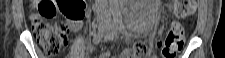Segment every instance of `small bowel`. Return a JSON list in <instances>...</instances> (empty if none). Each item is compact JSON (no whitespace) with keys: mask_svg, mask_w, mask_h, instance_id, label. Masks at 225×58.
<instances>
[{"mask_svg":"<svg viewBox=\"0 0 225 58\" xmlns=\"http://www.w3.org/2000/svg\"><path fill=\"white\" fill-rule=\"evenodd\" d=\"M68 24H69V26H70L72 31H78L82 27L81 20L80 21H71V20H69ZM109 56H110V52L107 51V52H104L101 55V58H108Z\"/></svg>","mask_w":225,"mask_h":58,"instance_id":"1","label":"small bowel"}]
</instances>
